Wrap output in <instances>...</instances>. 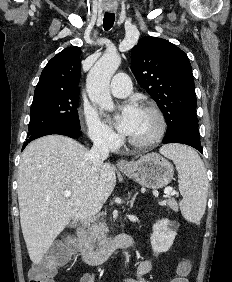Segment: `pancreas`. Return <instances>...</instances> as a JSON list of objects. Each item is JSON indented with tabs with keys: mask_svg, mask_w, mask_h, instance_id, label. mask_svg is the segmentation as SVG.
<instances>
[{
	"mask_svg": "<svg viewBox=\"0 0 232 282\" xmlns=\"http://www.w3.org/2000/svg\"><path fill=\"white\" fill-rule=\"evenodd\" d=\"M167 205L173 211H178V204L175 199H168ZM107 233L108 227L105 223H94L88 227V235L90 241L99 248L103 247L108 243Z\"/></svg>",
	"mask_w": 232,
	"mask_h": 282,
	"instance_id": "cf45deb5",
	"label": "pancreas"
}]
</instances>
